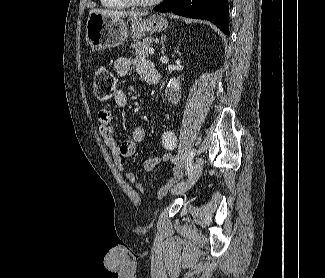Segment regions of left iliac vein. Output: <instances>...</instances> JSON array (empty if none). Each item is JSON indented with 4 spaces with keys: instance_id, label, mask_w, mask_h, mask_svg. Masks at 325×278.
I'll return each mask as SVG.
<instances>
[{
    "instance_id": "obj_1",
    "label": "left iliac vein",
    "mask_w": 325,
    "mask_h": 278,
    "mask_svg": "<svg viewBox=\"0 0 325 278\" xmlns=\"http://www.w3.org/2000/svg\"><path fill=\"white\" fill-rule=\"evenodd\" d=\"M202 170H203V160L201 158H199L195 162L193 171H192L191 175L189 176V178L187 179V181L180 182L179 184L175 185L172 188L171 193L173 195H179V194H182V193L186 192L187 190H189L195 184V182L198 180L199 176L202 173Z\"/></svg>"
}]
</instances>
